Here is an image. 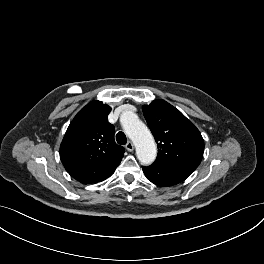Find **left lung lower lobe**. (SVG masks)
Wrapping results in <instances>:
<instances>
[{
    "mask_svg": "<svg viewBox=\"0 0 264 264\" xmlns=\"http://www.w3.org/2000/svg\"><path fill=\"white\" fill-rule=\"evenodd\" d=\"M147 179L152 183L168 187L184 181L192 172L183 166L155 161L152 165L142 167Z\"/></svg>",
    "mask_w": 264,
    "mask_h": 264,
    "instance_id": "left-lung-lower-lobe-1",
    "label": "left lung lower lobe"
}]
</instances>
